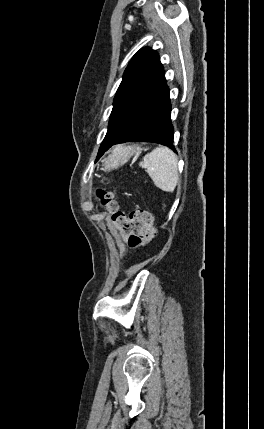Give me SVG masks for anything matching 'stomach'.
<instances>
[{"mask_svg": "<svg viewBox=\"0 0 264 429\" xmlns=\"http://www.w3.org/2000/svg\"><path fill=\"white\" fill-rule=\"evenodd\" d=\"M141 148L138 146L118 145L103 160L102 170L110 171L125 164L134 154H139Z\"/></svg>", "mask_w": 264, "mask_h": 429, "instance_id": "0dacf381", "label": "stomach"}]
</instances>
